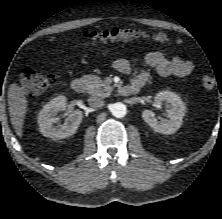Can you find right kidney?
Masks as SVG:
<instances>
[{
	"label": "right kidney",
	"instance_id": "1",
	"mask_svg": "<svg viewBox=\"0 0 222 219\" xmlns=\"http://www.w3.org/2000/svg\"><path fill=\"white\" fill-rule=\"evenodd\" d=\"M66 106L67 99L65 96H58L44 105L38 114L39 131L43 136L52 140H60L76 133L83 118L80 110L72 111L63 125H55L58 121L55 116L64 111Z\"/></svg>",
	"mask_w": 222,
	"mask_h": 219
}]
</instances>
